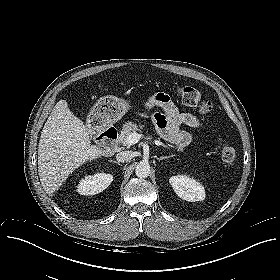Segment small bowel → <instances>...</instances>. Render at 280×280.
I'll return each instance as SVG.
<instances>
[{
	"label": "small bowel",
	"instance_id": "1",
	"mask_svg": "<svg viewBox=\"0 0 280 280\" xmlns=\"http://www.w3.org/2000/svg\"><path fill=\"white\" fill-rule=\"evenodd\" d=\"M145 109L142 115L150 116L159 134L179 150L185 149L193 140V136L182 129L183 125L194 130L202 128L201 121L195 115L180 112L169 96L163 93L150 97L145 104ZM156 109L160 111L150 113Z\"/></svg>",
	"mask_w": 280,
	"mask_h": 280
}]
</instances>
